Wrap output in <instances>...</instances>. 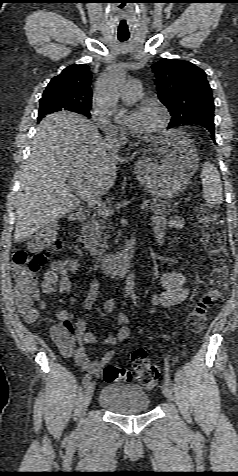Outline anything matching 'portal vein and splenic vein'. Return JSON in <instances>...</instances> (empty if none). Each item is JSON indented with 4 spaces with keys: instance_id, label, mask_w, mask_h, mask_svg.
<instances>
[{
    "instance_id": "1",
    "label": "portal vein and splenic vein",
    "mask_w": 238,
    "mask_h": 476,
    "mask_svg": "<svg viewBox=\"0 0 238 476\" xmlns=\"http://www.w3.org/2000/svg\"><path fill=\"white\" fill-rule=\"evenodd\" d=\"M70 182L75 193L85 202H87L89 206L97 210L99 214L106 216L113 214L112 207L107 206L104 202H102V200L97 195L90 191L88 186L82 180L72 179ZM149 203L150 202L148 200L144 201L140 206L141 210L148 209Z\"/></svg>"
}]
</instances>
